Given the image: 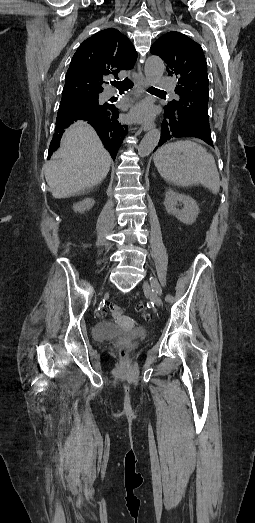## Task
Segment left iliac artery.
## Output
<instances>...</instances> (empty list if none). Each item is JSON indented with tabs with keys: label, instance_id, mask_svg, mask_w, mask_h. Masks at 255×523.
<instances>
[{
	"label": "left iliac artery",
	"instance_id": "left-iliac-artery-1",
	"mask_svg": "<svg viewBox=\"0 0 255 523\" xmlns=\"http://www.w3.org/2000/svg\"><path fill=\"white\" fill-rule=\"evenodd\" d=\"M153 288V291H155L157 294L161 295L162 294V289L161 288H158L156 286H152Z\"/></svg>",
	"mask_w": 255,
	"mask_h": 523
}]
</instances>
